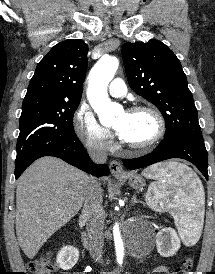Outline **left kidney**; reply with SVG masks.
<instances>
[{
	"label": "left kidney",
	"mask_w": 215,
	"mask_h": 274,
	"mask_svg": "<svg viewBox=\"0 0 215 274\" xmlns=\"http://www.w3.org/2000/svg\"><path fill=\"white\" fill-rule=\"evenodd\" d=\"M156 246L161 256L171 257L179 250L181 242L176 231L167 227L157 233Z\"/></svg>",
	"instance_id": "5707ae66"
}]
</instances>
